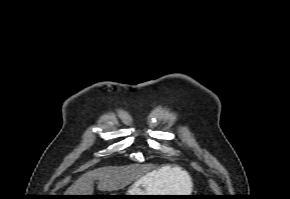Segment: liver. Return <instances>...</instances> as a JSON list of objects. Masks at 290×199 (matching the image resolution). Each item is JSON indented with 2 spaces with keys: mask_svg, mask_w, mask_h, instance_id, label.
<instances>
[{
  "mask_svg": "<svg viewBox=\"0 0 290 199\" xmlns=\"http://www.w3.org/2000/svg\"><path fill=\"white\" fill-rule=\"evenodd\" d=\"M144 170L138 165L107 166L89 171L79 177L65 192V195H93V183L99 181L98 189L101 191H115L124 188L133 181L143 178ZM150 172L147 175H152ZM157 178H162L166 188L182 192L188 188L190 177L182 168L166 165L158 170Z\"/></svg>",
  "mask_w": 290,
  "mask_h": 199,
  "instance_id": "liver-1",
  "label": "liver"
}]
</instances>
